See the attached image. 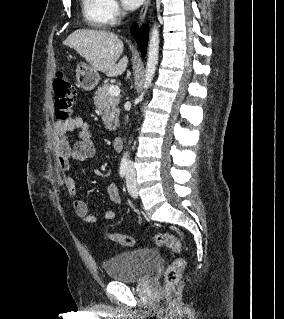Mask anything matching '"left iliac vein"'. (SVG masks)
I'll use <instances>...</instances> for the list:
<instances>
[{
	"instance_id": "1",
	"label": "left iliac vein",
	"mask_w": 284,
	"mask_h": 319,
	"mask_svg": "<svg viewBox=\"0 0 284 319\" xmlns=\"http://www.w3.org/2000/svg\"><path fill=\"white\" fill-rule=\"evenodd\" d=\"M126 185L129 194L133 198L138 197V191H137V186H136V181H135V175L131 169V167L128 168L127 174H126Z\"/></svg>"
}]
</instances>
